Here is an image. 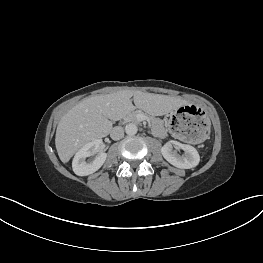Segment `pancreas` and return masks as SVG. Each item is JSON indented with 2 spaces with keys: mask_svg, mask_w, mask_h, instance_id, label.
I'll list each match as a JSON object with an SVG mask.
<instances>
[{
  "mask_svg": "<svg viewBox=\"0 0 263 263\" xmlns=\"http://www.w3.org/2000/svg\"><path fill=\"white\" fill-rule=\"evenodd\" d=\"M139 114H143L149 119V121L151 122V125H152L153 134H155L157 136H162V134L164 133V124H163V121L160 120L159 118H155L153 116L144 114L142 111L138 110V111H133V112L127 114L124 117V120L125 121H137L138 122L139 120H138L137 116Z\"/></svg>",
  "mask_w": 263,
  "mask_h": 263,
  "instance_id": "obj_1",
  "label": "pancreas"
}]
</instances>
